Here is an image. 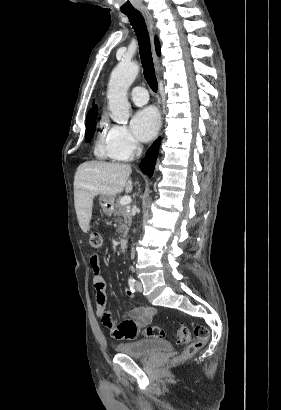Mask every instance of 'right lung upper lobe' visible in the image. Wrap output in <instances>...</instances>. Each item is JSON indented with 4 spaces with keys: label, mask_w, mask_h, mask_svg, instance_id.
<instances>
[{
    "label": "right lung upper lobe",
    "mask_w": 281,
    "mask_h": 410,
    "mask_svg": "<svg viewBox=\"0 0 281 410\" xmlns=\"http://www.w3.org/2000/svg\"><path fill=\"white\" fill-rule=\"evenodd\" d=\"M155 47H156L157 54L160 55V44H159L157 37H155ZM96 114H97V105H94L93 108L87 114V118L96 116Z\"/></svg>",
    "instance_id": "obj_1"
}]
</instances>
